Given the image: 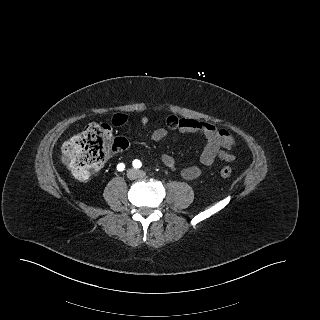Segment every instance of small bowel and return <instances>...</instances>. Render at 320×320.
I'll return each instance as SVG.
<instances>
[{"instance_id": "small-bowel-1", "label": "small bowel", "mask_w": 320, "mask_h": 320, "mask_svg": "<svg viewBox=\"0 0 320 320\" xmlns=\"http://www.w3.org/2000/svg\"><path fill=\"white\" fill-rule=\"evenodd\" d=\"M126 121L127 116L124 114H117L112 119L115 125H122ZM148 122V117L141 118L143 125ZM170 131L199 133L206 138V145L200 155V165H190L181 171L182 177L188 181L197 179L201 175V168L212 165L216 160L230 162L235 159L237 142L233 135L225 129H218L211 123L197 119L179 118L172 115L167 117L165 127L152 131L150 138L154 142H159L167 137ZM161 161L170 170L176 169V159L173 155L164 154Z\"/></svg>"}]
</instances>
